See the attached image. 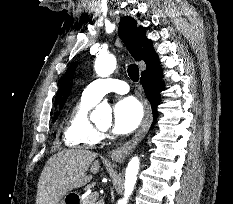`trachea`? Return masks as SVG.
<instances>
[{
	"mask_svg": "<svg viewBox=\"0 0 233 204\" xmlns=\"http://www.w3.org/2000/svg\"><path fill=\"white\" fill-rule=\"evenodd\" d=\"M127 72L132 81L137 82L139 80V68L136 64H130Z\"/></svg>",
	"mask_w": 233,
	"mask_h": 204,
	"instance_id": "trachea-1",
	"label": "trachea"
}]
</instances>
